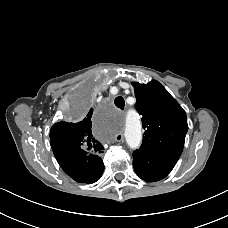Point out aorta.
Wrapping results in <instances>:
<instances>
[{
  "label": "aorta",
  "instance_id": "762f6f07",
  "mask_svg": "<svg viewBox=\"0 0 228 228\" xmlns=\"http://www.w3.org/2000/svg\"><path fill=\"white\" fill-rule=\"evenodd\" d=\"M125 139L132 149L138 148L142 141L141 122L133 111H129L126 115Z\"/></svg>",
  "mask_w": 228,
  "mask_h": 228
}]
</instances>
